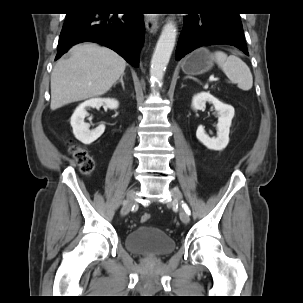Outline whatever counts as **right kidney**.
Instances as JSON below:
<instances>
[{"label":"right kidney","mask_w":303,"mask_h":303,"mask_svg":"<svg viewBox=\"0 0 303 303\" xmlns=\"http://www.w3.org/2000/svg\"><path fill=\"white\" fill-rule=\"evenodd\" d=\"M105 106L109 109H117L119 102L110 98H93L81 103L74 111L71 117V126L73 134L83 144L90 145L97 140L105 131V125L101 124L94 130L89 129V124L84 122L85 117L88 115L87 108H99Z\"/></svg>","instance_id":"1"}]
</instances>
